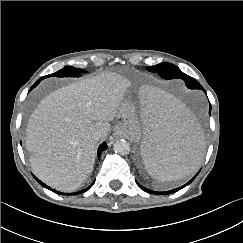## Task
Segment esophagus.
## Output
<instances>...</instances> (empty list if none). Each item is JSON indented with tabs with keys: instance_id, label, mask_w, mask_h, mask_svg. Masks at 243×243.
I'll return each mask as SVG.
<instances>
[{
	"instance_id": "esophagus-1",
	"label": "esophagus",
	"mask_w": 243,
	"mask_h": 243,
	"mask_svg": "<svg viewBox=\"0 0 243 243\" xmlns=\"http://www.w3.org/2000/svg\"><path fill=\"white\" fill-rule=\"evenodd\" d=\"M116 137L122 138L125 136V130L123 129H118L115 133Z\"/></svg>"
}]
</instances>
